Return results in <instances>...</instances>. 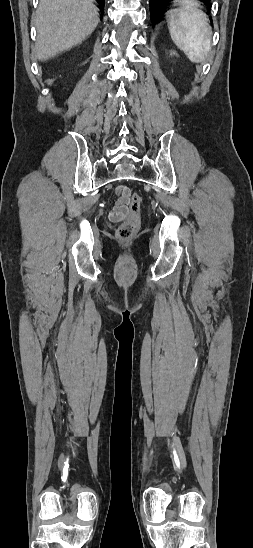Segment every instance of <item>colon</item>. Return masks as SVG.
Returning <instances> with one entry per match:
<instances>
[{
	"label": "colon",
	"mask_w": 253,
	"mask_h": 548,
	"mask_svg": "<svg viewBox=\"0 0 253 548\" xmlns=\"http://www.w3.org/2000/svg\"><path fill=\"white\" fill-rule=\"evenodd\" d=\"M142 204V197L135 193L130 198V208L132 210V217L123 222L117 229V237L123 242H128L134 236L136 231L139 211Z\"/></svg>",
	"instance_id": "obj_1"
}]
</instances>
